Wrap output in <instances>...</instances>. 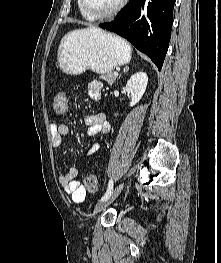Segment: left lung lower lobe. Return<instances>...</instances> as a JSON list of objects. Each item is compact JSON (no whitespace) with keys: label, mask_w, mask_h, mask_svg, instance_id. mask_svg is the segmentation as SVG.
<instances>
[{"label":"left lung lower lobe","mask_w":221,"mask_h":263,"mask_svg":"<svg viewBox=\"0 0 221 263\" xmlns=\"http://www.w3.org/2000/svg\"><path fill=\"white\" fill-rule=\"evenodd\" d=\"M175 0H130L103 29L127 39L148 55L160 71L168 50Z\"/></svg>","instance_id":"left-lung-lower-lobe-1"}]
</instances>
